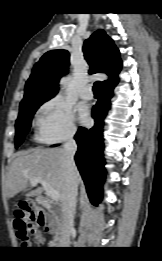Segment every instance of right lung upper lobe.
I'll use <instances>...</instances> for the list:
<instances>
[{
	"instance_id": "obj_1",
	"label": "right lung upper lobe",
	"mask_w": 162,
	"mask_h": 261,
	"mask_svg": "<svg viewBox=\"0 0 162 261\" xmlns=\"http://www.w3.org/2000/svg\"><path fill=\"white\" fill-rule=\"evenodd\" d=\"M84 57L90 66L89 73H105L108 80L102 82L103 89L114 88L122 62L113 40L102 29L95 31L83 46ZM69 53L64 49L46 52L34 65L25 85L23 100L38 96H55L60 78L68 73Z\"/></svg>"
}]
</instances>
